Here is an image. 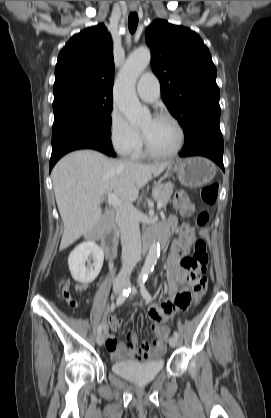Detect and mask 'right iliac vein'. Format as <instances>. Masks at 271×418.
Wrapping results in <instances>:
<instances>
[{"mask_svg":"<svg viewBox=\"0 0 271 418\" xmlns=\"http://www.w3.org/2000/svg\"><path fill=\"white\" fill-rule=\"evenodd\" d=\"M124 287L122 285H115L113 287V292L115 295H119L122 293ZM96 342L99 346L103 345L104 343V335L102 333H98L97 337H96Z\"/></svg>","mask_w":271,"mask_h":418,"instance_id":"63e3f726","label":"right iliac vein"}]
</instances>
